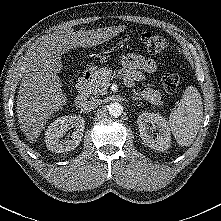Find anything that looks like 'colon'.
<instances>
[{"label":"colon","instance_id":"colon-1","mask_svg":"<svg viewBox=\"0 0 221 221\" xmlns=\"http://www.w3.org/2000/svg\"><path fill=\"white\" fill-rule=\"evenodd\" d=\"M141 43L144 49L151 54H164L168 51V42L161 36L145 33L141 36ZM180 79L176 73H167L162 78L164 89L174 93L178 89Z\"/></svg>","mask_w":221,"mask_h":221}]
</instances>
